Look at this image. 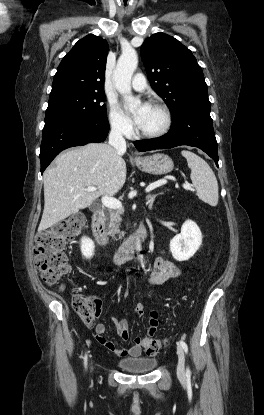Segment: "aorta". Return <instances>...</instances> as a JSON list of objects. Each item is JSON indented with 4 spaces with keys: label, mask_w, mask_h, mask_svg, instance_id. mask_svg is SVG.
Here are the masks:
<instances>
[{
    "label": "aorta",
    "mask_w": 264,
    "mask_h": 415,
    "mask_svg": "<svg viewBox=\"0 0 264 415\" xmlns=\"http://www.w3.org/2000/svg\"><path fill=\"white\" fill-rule=\"evenodd\" d=\"M138 65L137 52L133 48L126 49L122 52L118 59L114 70V82L116 89L122 94L129 103V109L134 110L139 101H135L131 92V78ZM136 250L141 251L140 240L136 241ZM138 259L142 260V255H138Z\"/></svg>",
    "instance_id": "obj_1"
}]
</instances>
